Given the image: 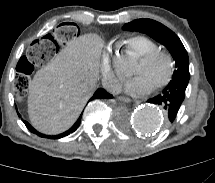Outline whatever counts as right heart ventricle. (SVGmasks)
I'll use <instances>...</instances> for the list:
<instances>
[{
    "label": "right heart ventricle",
    "instance_id": "1",
    "mask_svg": "<svg viewBox=\"0 0 215 183\" xmlns=\"http://www.w3.org/2000/svg\"><path fill=\"white\" fill-rule=\"evenodd\" d=\"M125 47L140 56L158 48L157 43L150 37L142 34H135L124 41Z\"/></svg>",
    "mask_w": 215,
    "mask_h": 183
}]
</instances>
